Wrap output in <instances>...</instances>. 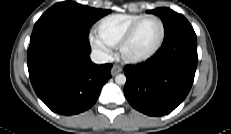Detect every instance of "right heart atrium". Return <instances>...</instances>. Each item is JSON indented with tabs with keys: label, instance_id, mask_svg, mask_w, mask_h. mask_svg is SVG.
<instances>
[{
	"label": "right heart atrium",
	"instance_id": "1",
	"mask_svg": "<svg viewBox=\"0 0 231 134\" xmlns=\"http://www.w3.org/2000/svg\"><path fill=\"white\" fill-rule=\"evenodd\" d=\"M89 43L92 51L102 61H108L112 57V48L106 44L98 35L91 33Z\"/></svg>",
	"mask_w": 231,
	"mask_h": 134
}]
</instances>
